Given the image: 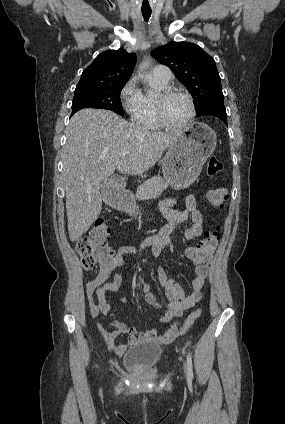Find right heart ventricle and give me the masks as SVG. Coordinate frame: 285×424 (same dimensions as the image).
I'll use <instances>...</instances> for the list:
<instances>
[{
  "mask_svg": "<svg viewBox=\"0 0 285 424\" xmlns=\"http://www.w3.org/2000/svg\"><path fill=\"white\" fill-rule=\"evenodd\" d=\"M154 83L161 90L168 89V84H163L156 79H154ZM155 101L156 98L149 95H143V107L137 120L143 127L151 130H159L162 128L157 119Z\"/></svg>",
  "mask_w": 285,
  "mask_h": 424,
  "instance_id": "right-heart-ventricle-1",
  "label": "right heart ventricle"
}]
</instances>
